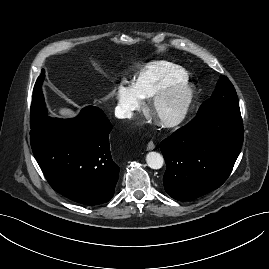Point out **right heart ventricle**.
<instances>
[{"label": "right heart ventricle", "instance_id": "e07e8e85", "mask_svg": "<svg viewBox=\"0 0 269 269\" xmlns=\"http://www.w3.org/2000/svg\"><path fill=\"white\" fill-rule=\"evenodd\" d=\"M188 78L179 66L168 62H153L140 72L133 87L142 99H150L156 93Z\"/></svg>", "mask_w": 269, "mask_h": 269}]
</instances>
